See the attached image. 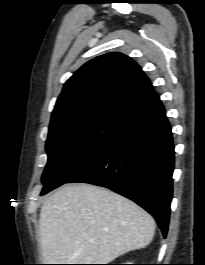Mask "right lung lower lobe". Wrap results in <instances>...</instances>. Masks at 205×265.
I'll list each match as a JSON object with an SVG mask.
<instances>
[{"instance_id": "obj_1", "label": "right lung lower lobe", "mask_w": 205, "mask_h": 265, "mask_svg": "<svg viewBox=\"0 0 205 265\" xmlns=\"http://www.w3.org/2000/svg\"><path fill=\"white\" fill-rule=\"evenodd\" d=\"M174 145L160 100L127 122L109 144L66 183L109 188L139 204L166 237L172 199Z\"/></svg>"}]
</instances>
